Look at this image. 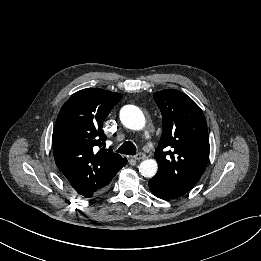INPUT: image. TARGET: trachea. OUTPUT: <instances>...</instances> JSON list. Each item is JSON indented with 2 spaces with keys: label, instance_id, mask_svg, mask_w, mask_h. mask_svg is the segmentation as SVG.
<instances>
[{
  "label": "trachea",
  "instance_id": "3493384b",
  "mask_svg": "<svg viewBox=\"0 0 261 261\" xmlns=\"http://www.w3.org/2000/svg\"><path fill=\"white\" fill-rule=\"evenodd\" d=\"M117 151L122 154L135 155L136 146L131 141H126L119 147Z\"/></svg>",
  "mask_w": 261,
  "mask_h": 261
}]
</instances>
